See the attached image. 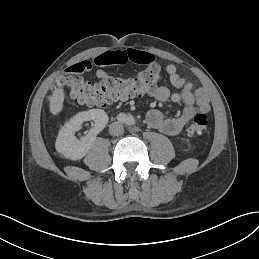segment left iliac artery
<instances>
[{
    "instance_id": "left-iliac-artery-1",
    "label": "left iliac artery",
    "mask_w": 259,
    "mask_h": 259,
    "mask_svg": "<svg viewBox=\"0 0 259 259\" xmlns=\"http://www.w3.org/2000/svg\"><path fill=\"white\" fill-rule=\"evenodd\" d=\"M126 123H127L128 125H134V123H135V118H134L133 116L129 115V116L127 117V119H126Z\"/></svg>"
}]
</instances>
